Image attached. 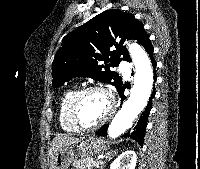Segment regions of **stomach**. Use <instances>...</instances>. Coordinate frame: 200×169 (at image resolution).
Segmentation results:
<instances>
[{
	"mask_svg": "<svg viewBox=\"0 0 200 169\" xmlns=\"http://www.w3.org/2000/svg\"><path fill=\"white\" fill-rule=\"evenodd\" d=\"M105 142L95 137H89L80 142L76 148L65 146L56 151L49 163V169H68L78 158L89 159L105 149Z\"/></svg>",
	"mask_w": 200,
	"mask_h": 169,
	"instance_id": "obj_1",
	"label": "stomach"
}]
</instances>
